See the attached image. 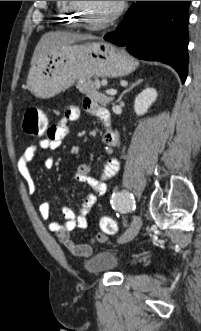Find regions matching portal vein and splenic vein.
<instances>
[{
    "instance_id": "portal-vein-and-splenic-vein-1",
    "label": "portal vein and splenic vein",
    "mask_w": 201,
    "mask_h": 331,
    "mask_svg": "<svg viewBox=\"0 0 201 331\" xmlns=\"http://www.w3.org/2000/svg\"><path fill=\"white\" fill-rule=\"evenodd\" d=\"M106 94L113 96L117 94V91L114 89H108L106 90Z\"/></svg>"
}]
</instances>
